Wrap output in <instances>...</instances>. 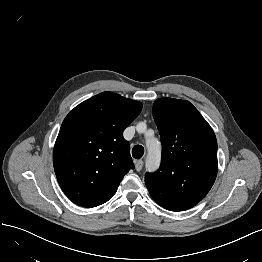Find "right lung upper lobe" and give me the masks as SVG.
I'll return each instance as SVG.
<instances>
[{"instance_id":"1","label":"right lung upper lobe","mask_w":262,"mask_h":262,"mask_svg":"<svg viewBox=\"0 0 262 262\" xmlns=\"http://www.w3.org/2000/svg\"><path fill=\"white\" fill-rule=\"evenodd\" d=\"M142 104L112 92H102L75 107L64 119L54 146L57 180L74 203L95 207L117 191L134 168L125 128Z\"/></svg>"}]
</instances>
